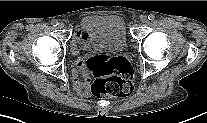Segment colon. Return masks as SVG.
I'll use <instances>...</instances> for the list:
<instances>
[{"label": "colon", "mask_w": 207, "mask_h": 123, "mask_svg": "<svg viewBox=\"0 0 207 123\" xmlns=\"http://www.w3.org/2000/svg\"><path fill=\"white\" fill-rule=\"evenodd\" d=\"M87 68L95 77L91 91L96 97H124L131 93L133 68L126 58L93 56Z\"/></svg>", "instance_id": "colon-1"}]
</instances>
